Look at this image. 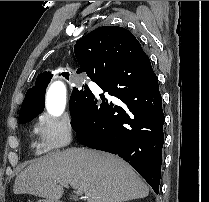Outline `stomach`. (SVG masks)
Listing matches in <instances>:
<instances>
[{"instance_id": "stomach-1", "label": "stomach", "mask_w": 209, "mask_h": 202, "mask_svg": "<svg viewBox=\"0 0 209 202\" xmlns=\"http://www.w3.org/2000/svg\"><path fill=\"white\" fill-rule=\"evenodd\" d=\"M35 202H58V201L51 200V199H37Z\"/></svg>"}]
</instances>
